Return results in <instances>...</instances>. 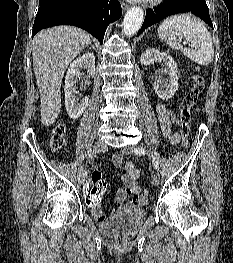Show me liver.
I'll list each match as a JSON object with an SVG mask.
<instances>
[{
	"mask_svg": "<svg viewBox=\"0 0 233 263\" xmlns=\"http://www.w3.org/2000/svg\"><path fill=\"white\" fill-rule=\"evenodd\" d=\"M89 44V34L74 26L51 27L34 37L33 68L40 93L43 125L50 126L58 118L65 70Z\"/></svg>",
	"mask_w": 233,
	"mask_h": 263,
	"instance_id": "liver-1",
	"label": "liver"
}]
</instances>
